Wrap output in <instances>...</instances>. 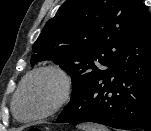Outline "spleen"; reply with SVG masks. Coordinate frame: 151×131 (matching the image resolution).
I'll use <instances>...</instances> for the list:
<instances>
[{
    "instance_id": "1",
    "label": "spleen",
    "mask_w": 151,
    "mask_h": 131,
    "mask_svg": "<svg viewBox=\"0 0 151 131\" xmlns=\"http://www.w3.org/2000/svg\"><path fill=\"white\" fill-rule=\"evenodd\" d=\"M78 129L81 131H109L108 128L98 124H80L78 125Z\"/></svg>"
}]
</instances>
